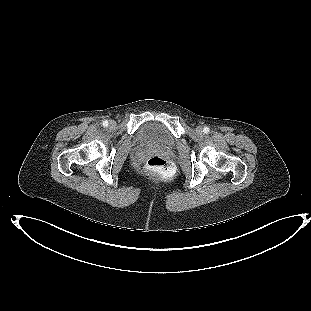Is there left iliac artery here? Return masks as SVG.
Returning <instances> with one entry per match:
<instances>
[{"label":"left iliac artery","mask_w":311,"mask_h":311,"mask_svg":"<svg viewBox=\"0 0 311 311\" xmlns=\"http://www.w3.org/2000/svg\"><path fill=\"white\" fill-rule=\"evenodd\" d=\"M209 131H210L209 127H207V126H206V127H204V129H203V132H204V133L208 134V133H209Z\"/></svg>","instance_id":"1"}]
</instances>
